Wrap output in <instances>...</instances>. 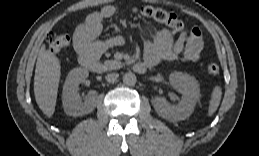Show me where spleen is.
<instances>
[{
	"label": "spleen",
	"instance_id": "spleen-1",
	"mask_svg": "<svg viewBox=\"0 0 259 156\" xmlns=\"http://www.w3.org/2000/svg\"><path fill=\"white\" fill-rule=\"evenodd\" d=\"M222 96V89L220 86H215L212 90L211 99L208 107V116H212L219 107Z\"/></svg>",
	"mask_w": 259,
	"mask_h": 156
}]
</instances>
